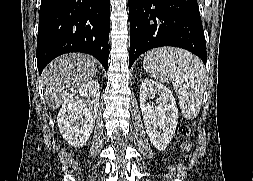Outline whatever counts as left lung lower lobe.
I'll use <instances>...</instances> for the list:
<instances>
[{
  "label": "left lung lower lobe",
  "mask_w": 253,
  "mask_h": 181,
  "mask_svg": "<svg viewBox=\"0 0 253 181\" xmlns=\"http://www.w3.org/2000/svg\"><path fill=\"white\" fill-rule=\"evenodd\" d=\"M129 66L160 46L184 48L206 65V43L197 0H129Z\"/></svg>",
  "instance_id": "1"
}]
</instances>
